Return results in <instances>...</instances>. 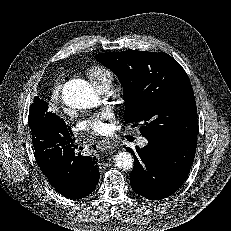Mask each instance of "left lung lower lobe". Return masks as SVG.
Returning <instances> with one entry per match:
<instances>
[{
  "label": "left lung lower lobe",
  "instance_id": "left-lung-lower-lobe-1",
  "mask_svg": "<svg viewBox=\"0 0 231 231\" xmlns=\"http://www.w3.org/2000/svg\"><path fill=\"white\" fill-rule=\"evenodd\" d=\"M148 145L127 150L135 158L130 175L133 190L139 195L160 200L176 192L187 178L193 164L197 138L174 143L148 138Z\"/></svg>",
  "mask_w": 231,
  "mask_h": 231
}]
</instances>
